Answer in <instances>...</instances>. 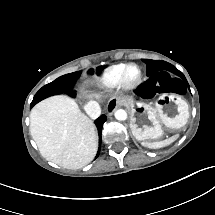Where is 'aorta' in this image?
I'll return each instance as SVG.
<instances>
[{
    "label": "aorta",
    "mask_w": 215,
    "mask_h": 215,
    "mask_svg": "<svg viewBox=\"0 0 215 215\" xmlns=\"http://www.w3.org/2000/svg\"><path fill=\"white\" fill-rule=\"evenodd\" d=\"M114 115H115V118L117 120H120V121H123V120L127 119V113L123 109L116 110L115 113H114Z\"/></svg>",
    "instance_id": "1"
}]
</instances>
